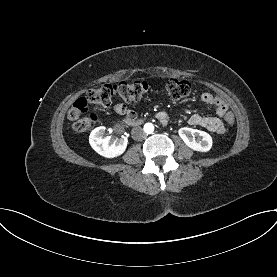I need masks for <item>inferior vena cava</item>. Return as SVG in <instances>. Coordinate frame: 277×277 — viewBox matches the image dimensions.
Instances as JSON below:
<instances>
[{
	"instance_id": "obj_1",
	"label": "inferior vena cava",
	"mask_w": 277,
	"mask_h": 277,
	"mask_svg": "<svg viewBox=\"0 0 277 277\" xmlns=\"http://www.w3.org/2000/svg\"><path fill=\"white\" fill-rule=\"evenodd\" d=\"M132 138L136 141H141L146 138V133L141 127H134L131 131Z\"/></svg>"
}]
</instances>
